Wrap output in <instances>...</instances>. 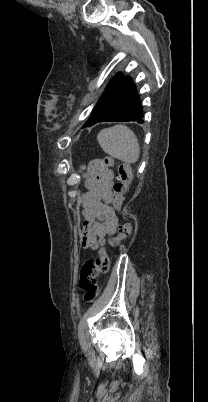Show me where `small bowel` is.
Here are the masks:
<instances>
[{
	"label": "small bowel",
	"mask_w": 208,
	"mask_h": 402,
	"mask_svg": "<svg viewBox=\"0 0 208 402\" xmlns=\"http://www.w3.org/2000/svg\"><path fill=\"white\" fill-rule=\"evenodd\" d=\"M81 170L88 191L81 198L84 222L80 238L83 247L96 249L118 227V219L111 206L115 174L99 159L91 160Z\"/></svg>",
	"instance_id": "small-bowel-1"
}]
</instances>
